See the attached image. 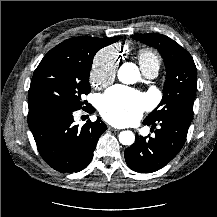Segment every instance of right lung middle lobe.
I'll return each instance as SVG.
<instances>
[{
	"label": "right lung middle lobe",
	"mask_w": 217,
	"mask_h": 217,
	"mask_svg": "<svg viewBox=\"0 0 217 217\" xmlns=\"http://www.w3.org/2000/svg\"><path fill=\"white\" fill-rule=\"evenodd\" d=\"M85 50H50L36 68L28 94L29 112L48 108L79 110L88 105L82 96L90 92L89 75L95 53Z\"/></svg>",
	"instance_id": "1"
}]
</instances>
